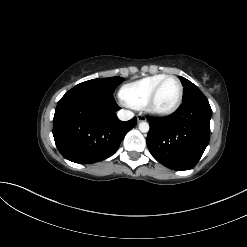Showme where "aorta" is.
Masks as SVG:
<instances>
[{
	"mask_svg": "<svg viewBox=\"0 0 247 247\" xmlns=\"http://www.w3.org/2000/svg\"><path fill=\"white\" fill-rule=\"evenodd\" d=\"M138 127L142 133L148 132L149 128H150V126L147 122H140Z\"/></svg>",
	"mask_w": 247,
	"mask_h": 247,
	"instance_id": "762f6f07",
	"label": "aorta"
}]
</instances>
